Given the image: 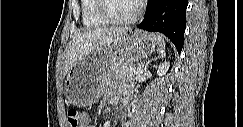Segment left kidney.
<instances>
[{
  "mask_svg": "<svg viewBox=\"0 0 243 127\" xmlns=\"http://www.w3.org/2000/svg\"><path fill=\"white\" fill-rule=\"evenodd\" d=\"M168 69H169V63L168 62H165V63L161 64L158 67L157 74L159 76H163V75L166 74V72L168 71Z\"/></svg>",
  "mask_w": 243,
  "mask_h": 127,
  "instance_id": "obj_1",
  "label": "left kidney"
}]
</instances>
